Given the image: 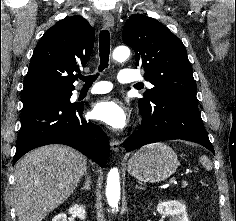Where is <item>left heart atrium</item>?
<instances>
[{
  "label": "left heart atrium",
  "mask_w": 236,
  "mask_h": 221,
  "mask_svg": "<svg viewBox=\"0 0 236 221\" xmlns=\"http://www.w3.org/2000/svg\"><path fill=\"white\" fill-rule=\"evenodd\" d=\"M92 116L115 130L123 129L129 122L127 108L112 97L103 98L95 103Z\"/></svg>",
  "instance_id": "obj_1"
}]
</instances>
